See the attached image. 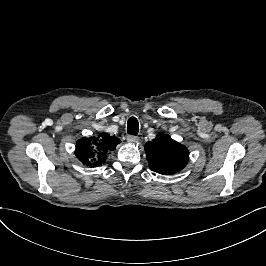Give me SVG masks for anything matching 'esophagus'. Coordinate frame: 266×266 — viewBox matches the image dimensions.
<instances>
[{
    "label": "esophagus",
    "mask_w": 266,
    "mask_h": 266,
    "mask_svg": "<svg viewBox=\"0 0 266 266\" xmlns=\"http://www.w3.org/2000/svg\"><path fill=\"white\" fill-rule=\"evenodd\" d=\"M139 140V138L135 135H128L127 136V141L129 143H136Z\"/></svg>",
    "instance_id": "1"
}]
</instances>
